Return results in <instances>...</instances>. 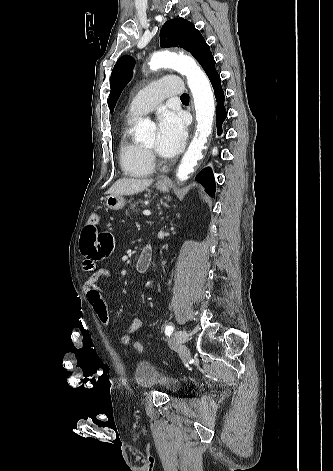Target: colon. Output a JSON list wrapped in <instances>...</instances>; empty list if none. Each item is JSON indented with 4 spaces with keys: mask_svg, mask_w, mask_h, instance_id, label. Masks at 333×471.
<instances>
[{
    "mask_svg": "<svg viewBox=\"0 0 333 471\" xmlns=\"http://www.w3.org/2000/svg\"><path fill=\"white\" fill-rule=\"evenodd\" d=\"M99 221H100L99 215L97 213H92L89 217L88 223L93 225V226H97L99 224ZM132 347L137 352H142L143 351V345L139 341L133 342Z\"/></svg>",
    "mask_w": 333,
    "mask_h": 471,
    "instance_id": "5ec220e1",
    "label": "colon"
}]
</instances>
